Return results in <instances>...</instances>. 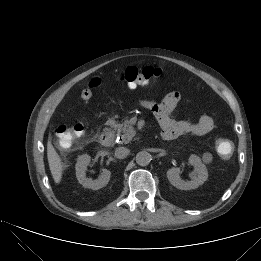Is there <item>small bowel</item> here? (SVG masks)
<instances>
[{"label":"small bowel","mask_w":261,"mask_h":261,"mask_svg":"<svg viewBox=\"0 0 261 261\" xmlns=\"http://www.w3.org/2000/svg\"><path fill=\"white\" fill-rule=\"evenodd\" d=\"M129 87L135 89L137 85L129 84ZM179 101L180 94L170 92L161 101L142 99L138 104L149 109L155 115L161 126V136L166 140H173L186 134L202 136L213 130L214 121L208 115L201 116L195 123L172 120L170 114Z\"/></svg>","instance_id":"1"}]
</instances>
